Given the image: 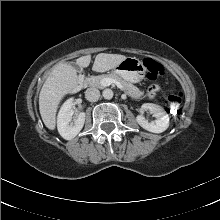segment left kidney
Here are the masks:
<instances>
[{"label": "left kidney", "mask_w": 220, "mask_h": 220, "mask_svg": "<svg viewBox=\"0 0 220 220\" xmlns=\"http://www.w3.org/2000/svg\"><path fill=\"white\" fill-rule=\"evenodd\" d=\"M142 110L150 111L155 117V120L151 122L145 119L143 115L136 117L137 123L145 130L153 133H162L169 127V116L161 106L153 103H144Z\"/></svg>", "instance_id": "obj_1"}]
</instances>
